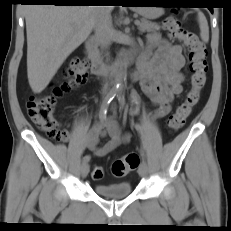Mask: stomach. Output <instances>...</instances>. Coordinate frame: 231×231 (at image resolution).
<instances>
[{
    "label": "stomach",
    "instance_id": "obj_1",
    "mask_svg": "<svg viewBox=\"0 0 231 231\" xmlns=\"http://www.w3.org/2000/svg\"><path fill=\"white\" fill-rule=\"evenodd\" d=\"M135 10L146 19H154L162 13V8L156 7H136Z\"/></svg>",
    "mask_w": 231,
    "mask_h": 231
}]
</instances>
